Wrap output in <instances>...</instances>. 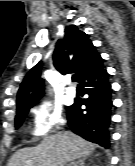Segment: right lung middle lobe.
Segmentation results:
<instances>
[{
  "label": "right lung middle lobe",
  "mask_w": 135,
  "mask_h": 166,
  "mask_svg": "<svg viewBox=\"0 0 135 166\" xmlns=\"http://www.w3.org/2000/svg\"><path fill=\"white\" fill-rule=\"evenodd\" d=\"M34 105H28V106H24V107H22V108H20V109H17V115H16V117H15V125H16V128H18L20 125H21V123H22V121L24 120V118H25V116L27 115V113H28V111H29V109L31 108V107H33ZM68 108V107H67Z\"/></svg>",
  "instance_id": "1"
}]
</instances>
